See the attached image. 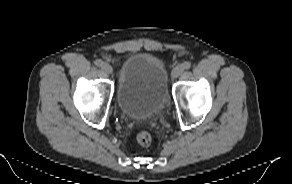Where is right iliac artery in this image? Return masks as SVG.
Here are the masks:
<instances>
[{"mask_svg": "<svg viewBox=\"0 0 292 184\" xmlns=\"http://www.w3.org/2000/svg\"><path fill=\"white\" fill-rule=\"evenodd\" d=\"M95 64H96L97 66L101 67V66L104 64V62H103L101 59H97V60L95 61Z\"/></svg>", "mask_w": 292, "mask_h": 184, "instance_id": "obj_1", "label": "right iliac artery"}]
</instances>
